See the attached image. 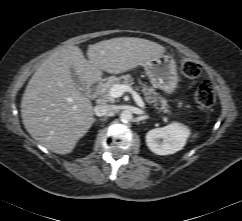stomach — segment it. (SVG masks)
<instances>
[{
	"mask_svg": "<svg viewBox=\"0 0 242 221\" xmlns=\"http://www.w3.org/2000/svg\"><path fill=\"white\" fill-rule=\"evenodd\" d=\"M144 69L155 88L168 94L175 92L178 85V73L173 57L158 55L149 60Z\"/></svg>",
	"mask_w": 242,
	"mask_h": 221,
	"instance_id": "0dacf381",
	"label": "stomach"
}]
</instances>
